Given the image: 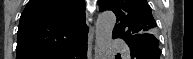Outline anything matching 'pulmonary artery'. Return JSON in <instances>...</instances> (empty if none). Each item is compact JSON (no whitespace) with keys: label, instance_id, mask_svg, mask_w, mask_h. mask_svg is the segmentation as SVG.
Listing matches in <instances>:
<instances>
[{"label":"pulmonary artery","instance_id":"obj_1","mask_svg":"<svg viewBox=\"0 0 193 59\" xmlns=\"http://www.w3.org/2000/svg\"><path fill=\"white\" fill-rule=\"evenodd\" d=\"M112 45L113 46H118V47H122V46H124L125 44H124V42L123 41H121L120 39H114L113 41H112ZM127 52V51H126Z\"/></svg>","mask_w":193,"mask_h":59}]
</instances>
